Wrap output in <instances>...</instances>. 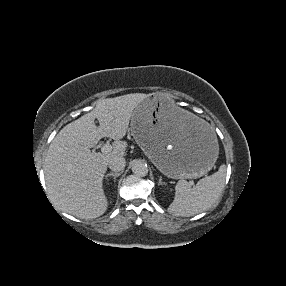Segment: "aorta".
<instances>
[{"mask_svg":"<svg viewBox=\"0 0 286 286\" xmlns=\"http://www.w3.org/2000/svg\"><path fill=\"white\" fill-rule=\"evenodd\" d=\"M132 172L139 177H144L148 174L147 164L141 160H134L132 162Z\"/></svg>","mask_w":286,"mask_h":286,"instance_id":"aorta-1","label":"aorta"}]
</instances>
